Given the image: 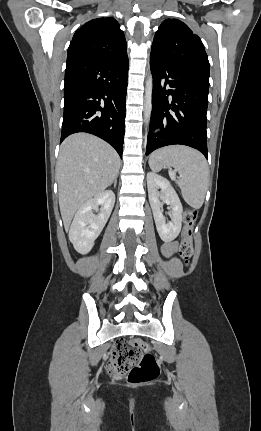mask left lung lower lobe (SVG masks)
Listing matches in <instances>:
<instances>
[{
	"label": "left lung lower lobe",
	"mask_w": 261,
	"mask_h": 431,
	"mask_svg": "<svg viewBox=\"0 0 261 431\" xmlns=\"http://www.w3.org/2000/svg\"><path fill=\"white\" fill-rule=\"evenodd\" d=\"M150 68L153 93L146 155L160 147L181 144L199 150L207 158L209 76L152 54Z\"/></svg>",
	"instance_id": "1"
}]
</instances>
